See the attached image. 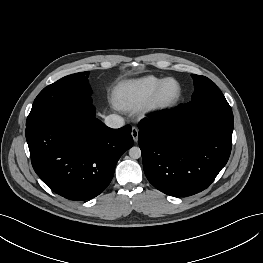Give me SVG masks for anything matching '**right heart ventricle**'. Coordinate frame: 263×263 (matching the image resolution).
<instances>
[{
    "mask_svg": "<svg viewBox=\"0 0 263 263\" xmlns=\"http://www.w3.org/2000/svg\"><path fill=\"white\" fill-rule=\"evenodd\" d=\"M152 75L119 83L114 90L116 105L125 110L140 108L148 103L158 86L164 81Z\"/></svg>",
    "mask_w": 263,
    "mask_h": 263,
    "instance_id": "1",
    "label": "right heart ventricle"
}]
</instances>
